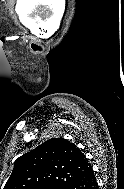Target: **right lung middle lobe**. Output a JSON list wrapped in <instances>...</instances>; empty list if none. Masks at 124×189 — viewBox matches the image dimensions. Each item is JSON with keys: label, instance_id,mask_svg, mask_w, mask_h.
<instances>
[{"label": "right lung middle lobe", "instance_id": "dd1d6c3e", "mask_svg": "<svg viewBox=\"0 0 124 189\" xmlns=\"http://www.w3.org/2000/svg\"><path fill=\"white\" fill-rule=\"evenodd\" d=\"M41 189H63L62 186H45L42 187Z\"/></svg>", "mask_w": 124, "mask_h": 189}]
</instances>
